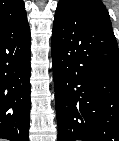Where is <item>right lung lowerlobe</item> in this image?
<instances>
[{"label": "right lung lower lobe", "instance_id": "obj_1", "mask_svg": "<svg viewBox=\"0 0 119 141\" xmlns=\"http://www.w3.org/2000/svg\"><path fill=\"white\" fill-rule=\"evenodd\" d=\"M30 44L27 16L0 21V138L29 141Z\"/></svg>", "mask_w": 119, "mask_h": 141}]
</instances>
